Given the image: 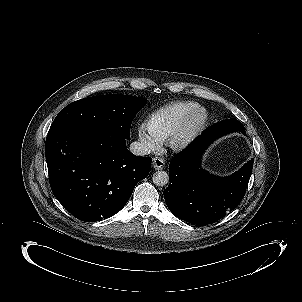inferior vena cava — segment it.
I'll return each mask as SVG.
<instances>
[{"label":"inferior vena cava","mask_w":302,"mask_h":302,"mask_svg":"<svg viewBox=\"0 0 302 302\" xmlns=\"http://www.w3.org/2000/svg\"><path fill=\"white\" fill-rule=\"evenodd\" d=\"M129 150L131 153L137 156H145L150 154V149L145 144L137 141L130 144Z\"/></svg>","instance_id":"602c4592"}]
</instances>
